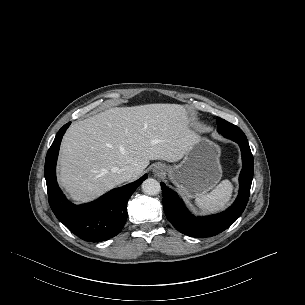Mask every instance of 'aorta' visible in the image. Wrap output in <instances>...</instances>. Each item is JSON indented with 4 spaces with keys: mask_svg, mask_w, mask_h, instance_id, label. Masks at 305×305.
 <instances>
[{
    "mask_svg": "<svg viewBox=\"0 0 305 305\" xmlns=\"http://www.w3.org/2000/svg\"><path fill=\"white\" fill-rule=\"evenodd\" d=\"M142 190L148 195H157L161 191V186L156 179L148 178L143 181Z\"/></svg>",
    "mask_w": 305,
    "mask_h": 305,
    "instance_id": "obj_1",
    "label": "aorta"
}]
</instances>
